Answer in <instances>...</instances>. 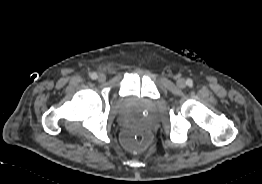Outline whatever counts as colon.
<instances>
[{
	"mask_svg": "<svg viewBox=\"0 0 262 184\" xmlns=\"http://www.w3.org/2000/svg\"><path fill=\"white\" fill-rule=\"evenodd\" d=\"M122 143L129 150L139 151L149 143V135L145 132H126Z\"/></svg>",
	"mask_w": 262,
	"mask_h": 184,
	"instance_id": "obj_1",
	"label": "colon"
}]
</instances>
